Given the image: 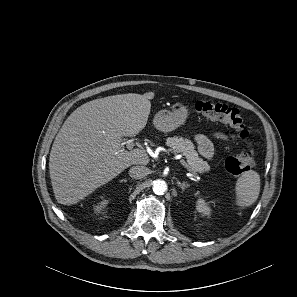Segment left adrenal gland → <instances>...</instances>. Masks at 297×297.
<instances>
[{
  "mask_svg": "<svg viewBox=\"0 0 297 297\" xmlns=\"http://www.w3.org/2000/svg\"><path fill=\"white\" fill-rule=\"evenodd\" d=\"M177 184H178V186H180L182 191H184L189 186L187 183H185V182L181 183L180 181H177Z\"/></svg>",
  "mask_w": 297,
  "mask_h": 297,
  "instance_id": "1",
  "label": "left adrenal gland"
}]
</instances>
